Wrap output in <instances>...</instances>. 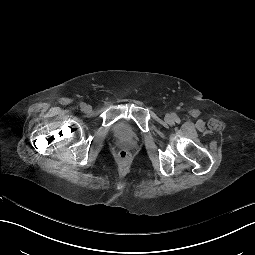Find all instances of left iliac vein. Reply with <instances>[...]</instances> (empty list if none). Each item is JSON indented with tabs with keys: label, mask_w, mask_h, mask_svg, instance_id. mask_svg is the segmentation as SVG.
Instances as JSON below:
<instances>
[{
	"label": "left iliac vein",
	"mask_w": 255,
	"mask_h": 255,
	"mask_svg": "<svg viewBox=\"0 0 255 255\" xmlns=\"http://www.w3.org/2000/svg\"><path fill=\"white\" fill-rule=\"evenodd\" d=\"M165 121L169 124H172L174 122V117L171 114H167L165 116Z\"/></svg>",
	"instance_id": "1"
}]
</instances>
